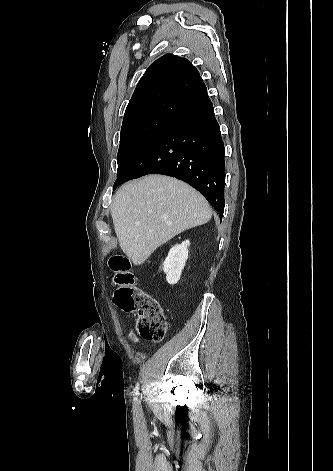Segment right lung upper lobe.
I'll return each mask as SVG.
<instances>
[{
	"mask_svg": "<svg viewBox=\"0 0 333 471\" xmlns=\"http://www.w3.org/2000/svg\"><path fill=\"white\" fill-rule=\"evenodd\" d=\"M205 95L198 70L187 59L166 54L147 68L124 118L144 114L176 118Z\"/></svg>",
	"mask_w": 333,
	"mask_h": 471,
	"instance_id": "1",
	"label": "right lung upper lobe"
}]
</instances>
